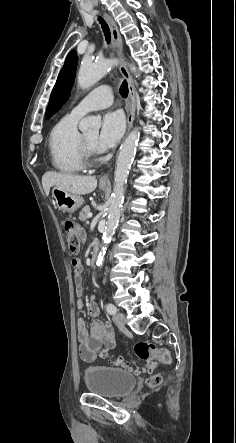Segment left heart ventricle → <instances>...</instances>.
Returning a JSON list of instances; mask_svg holds the SVG:
<instances>
[{
  "instance_id": "1",
  "label": "left heart ventricle",
  "mask_w": 236,
  "mask_h": 443,
  "mask_svg": "<svg viewBox=\"0 0 236 443\" xmlns=\"http://www.w3.org/2000/svg\"><path fill=\"white\" fill-rule=\"evenodd\" d=\"M84 138L86 139V141L91 144L92 146H94L95 140L97 138V132L96 131H91L88 133L83 134Z\"/></svg>"
}]
</instances>
